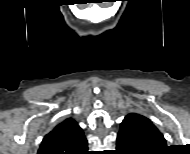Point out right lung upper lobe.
<instances>
[{"label": "right lung upper lobe", "mask_w": 190, "mask_h": 154, "mask_svg": "<svg viewBox=\"0 0 190 154\" xmlns=\"http://www.w3.org/2000/svg\"><path fill=\"white\" fill-rule=\"evenodd\" d=\"M87 151L82 128L74 119L67 118L44 137L38 154H86Z\"/></svg>", "instance_id": "obj_1"}]
</instances>
